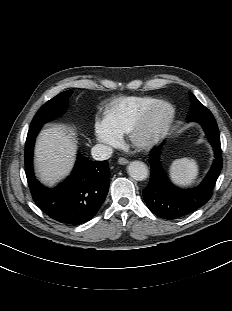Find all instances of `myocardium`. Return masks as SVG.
I'll return each instance as SVG.
<instances>
[{"mask_svg": "<svg viewBox=\"0 0 232 311\" xmlns=\"http://www.w3.org/2000/svg\"><path fill=\"white\" fill-rule=\"evenodd\" d=\"M160 109H166V114L158 126L152 131H146V126L151 117ZM175 116L174 106L165 100H158L146 108L128 132L131 144L137 148H149L156 144L165 134Z\"/></svg>", "mask_w": 232, "mask_h": 311, "instance_id": "obj_1", "label": "myocardium"}]
</instances>
